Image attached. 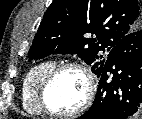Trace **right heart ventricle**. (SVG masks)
<instances>
[{"mask_svg":"<svg viewBox=\"0 0 142 119\" xmlns=\"http://www.w3.org/2000/svg\"><path fill=\"white\" fill-rule=\"evenodd\" d=\"M55 65L54 60H45L32 67L26 74L22 84V105L28 113L33 115L43 113L38 101L39 88L46 74Z\"/></svg>","mask_w":142,"mask_h":119,"instance_id":"e07e8e85","label":"right heart ventricle"}]
</instances>
